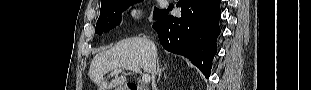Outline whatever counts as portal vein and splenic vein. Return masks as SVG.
<instances>
[{"label":"portal vein and splenic vein","mask_w":311,"mask_h":90,"mask_svg":"<svg viewBox=\"0 0 311 90\" xmlns=\"http://www.w3.org/2000/svg\"><path fill=\"white\" fill-rule=\"evenodd\" d=\"M126 69H127V70H130V71H133V72H135V73H140V74H142V81H143L144 83H149V82L151 81L150 75L142 73V71L140 70V68L137 67V66H128ZM123 70H124V69H123ZM113 72H114L115 74H119L120 72H122V69H121V68H120V69H116V70H114Z\"/></svg>","instance_id":"1"}]
</instances>
